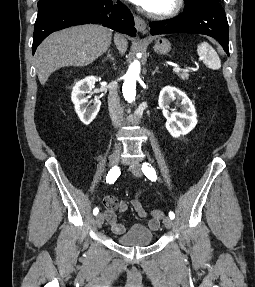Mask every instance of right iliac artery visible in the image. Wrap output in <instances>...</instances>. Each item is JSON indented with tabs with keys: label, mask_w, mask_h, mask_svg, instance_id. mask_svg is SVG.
<instances>
[{
	"label": "right iliac artery",
	"mask_w": 255,
	"mask_h": 287,
	"mask_svg": "<svg viewBox=\"0 0 255 287\" xmlns=\"http://www.w3.org/2000/svg\"><path fill=\"white\" fill-rule=\"evenodd\" d=\"M120 175V168L118 166H114L110 169V171L108 172L107 176H106V181L107 183L109 184H113L117 178L119 177ZM99 212V209L96 207L94 210H93V214L94 215H97Z\"/></svg>",
	"instance_id": "1"
}]
</instances>
